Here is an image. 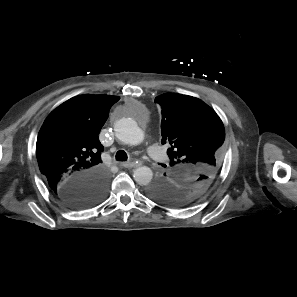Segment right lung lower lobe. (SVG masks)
<instances>
[{"label":"right lung lower lobe","instance_id":"98d812e1","mask_svg":"<svg viewBox=\"0 0 297 297\" xmlns=\"http://www.w3.org/2000/svg\"><path fill=\"white\" fill-rule=\"evenodd\" d=\"M108 181L106 172L94 171L81 174L73 178L55 195L72 208H87L104 198Z\"/></svg>","mask_w":297,"mask_h":297}]
</instances>
